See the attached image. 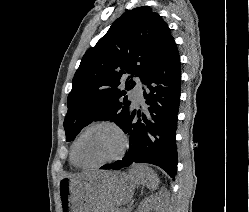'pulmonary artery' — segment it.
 <instances>
[{"label":"pulmonary artery","mask_w":249,"mask_h":212,"mask_svg":"<svg viewBox=\"0 0 249 212\" xmlns=\"http://www.w3.org/2000/svg\"><path fill=\"white\" fill-rule=\"evenodd\" d=\"M144 89L141 84H137L130 91V98L135 106L144 103Z\"/></svg>","instance_id":"1"}]
</instances>
